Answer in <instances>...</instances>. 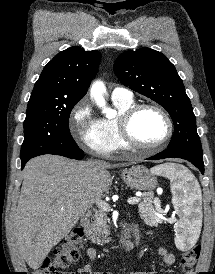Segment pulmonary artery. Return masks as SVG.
<instances>
[{"label": "pulmonary artery", "mask_w": 215, "mask_h": 274, "mask_svg": "<svg viewBox=\"0 0 215 274\" xmlns=\"http://www.w3.org/2000/svg\"><path fill=\"white\" fill-rule=\"evenodd\" d=\"M112 99L130 100L132 99V93L126 88L115 87L111 93Z\"/></svg>", "instance_id": "obj_1"}]
</instances>
